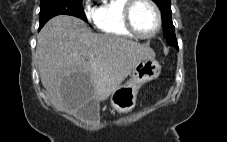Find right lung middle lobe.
<instances>
[{"mask_svg":"<svg viewBox=\"0 0 227 142\" xmlns=\"http://www.w3.org/2000/svg\"><path fill=\"white\" fill-rule=\"evenodd\" d=\"M57 15H71L87 22L82 0H40L39 28H42L49 19Z\"/></svg>","mask_w":227,"mask_h":142,"instance_id":"obj_1","label":"right lung middle lobe"}]
</instances>
